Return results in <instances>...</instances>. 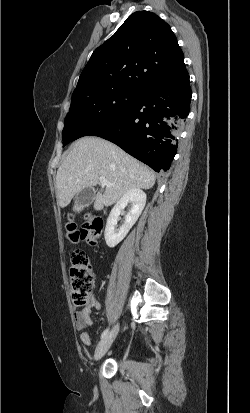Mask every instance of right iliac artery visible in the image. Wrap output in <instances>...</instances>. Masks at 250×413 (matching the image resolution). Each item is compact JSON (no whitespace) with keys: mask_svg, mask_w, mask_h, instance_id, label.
Instances as JSON below:
<instances>
[{"mask_svg":"<svg viewBox=\"0 0 250 413\" xmlns=\"http://www.w3.org/2000/svg\"><path fill=\"white\" fill-rule=\"evenodd\" d=\"M108 332H109V328L105 329L101 334V339L105 338Z\"/></svg>","mask_w":250,"mask_h":413,"instance_id":"82829eb1","label":"right iliac artery"}]
</instances>
